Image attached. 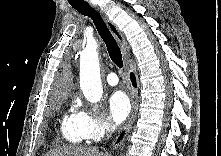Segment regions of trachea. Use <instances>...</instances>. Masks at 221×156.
Wrapping results in <instances>:
<instances>
[{
  "mask_svg": "<svg viewBox=\"0 0 221 156\" xmlns=\"http://www.w3.org/2000/svg\"><path fill=\"white\" fill-rule=\"evenodd\" d=\"M71 6L76 9L79 13L84 16H88L93 20V23L98 30L99 35L103 39L104 43L106 44L109 56L111 60L117 65V67H123V60L120 48L115 41L113 35L107 28L106 24L104 23L100 14L90 7L87 2L83 0H68Z\"/></svg>",
  "mask_w": 221,
  "mask_h": 156,
  "instance_id": "trachea-1",
  "label": "trachea"
}]
</instances>
